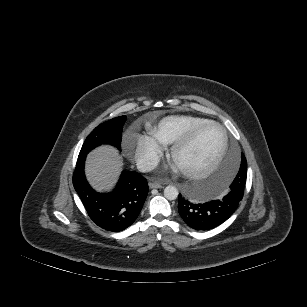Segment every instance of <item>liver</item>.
<instances>
[{"label": "liver", "instance_id": "1", "mask_svg": "<svg viewBox=\"0 0 307 307\" xmlns=\"http://www.w3.org/2000/svg\"><path fill=\"white\" fill-rule=\"evenodd\" d=\"M123 163L116 149L101 146L92 151L86 162V176L98 191L110 190L117 182Z\"/></svg>", "mask_w": 307, "mask_h": 307}]
</instances>
